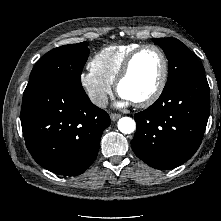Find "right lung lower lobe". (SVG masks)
Returning a JSON list of instances; mask_svg holds the SVG:
<instances>
[{
    "mask_svg": "<svg viewBox=\"0 0 221 221\" xmlns=\"http://www.w3.org/2000/svg\"><path fill=\"white\" fill-rule=\"evenodd\" d=\"M109 115L95 106L83 87L28 82L21 125L34 160L60 175L83 173L96 159Z\"/></svg>",
    "mask_w": 221,
    "mask_h": 221,
    "instance_id": "obj_1",
    "label": "right lung lower lobe"
}]
</instances>
